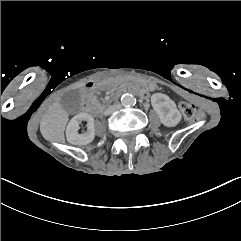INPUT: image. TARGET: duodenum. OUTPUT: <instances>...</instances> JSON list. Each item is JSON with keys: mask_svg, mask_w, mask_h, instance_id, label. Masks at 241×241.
I'll return each instance as SVG.
<instances>
[{"mask_svg": "<svg viewBox=\"0 0 241 241\" xmlns=\"http://www.w3.org/2000/svg\"><path fill=\"white\" fill-rule=\"evenodd\" d=\"M102 83L100 81H93L87 84L83 91H82V100H83V107L86 111H89L95 116H98L100 114V109L95 106L93 100H92V94L93 92L100 87ZM126 93H131V94H136L140 96L141 98H145L147 96V91L144 89H141L137 86H125L117 91H115L111 99L116 100L119 97H121L123 94Z\"/></svg>", "mask_w": 241, "mask_h": 241, "instance_id": "duodenum-1", "label": "duodenum"}]
</instances>
